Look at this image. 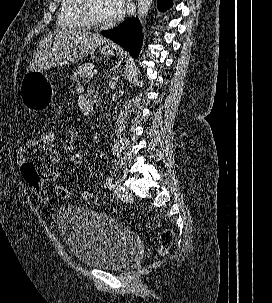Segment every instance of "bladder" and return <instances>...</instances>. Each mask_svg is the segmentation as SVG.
Masks as SVG:
<instances>
[{
	"label": "bladder",
	"mask_w": 272,
	"mask_h": 303,
	"mask_svg": "<svg viewBox=\"0 0 272 303\" xmlns=\"http://www.w3.org/2000/svg\"><path fill=\"white\" fill-rule=\"evenodd\" d=\"M57 228L75 258L84 266L120 270L137 250L136 236L113 217L84 207H62Z\"/></svg>",
	"instance_id": "obj_1"
}]
</instances>
